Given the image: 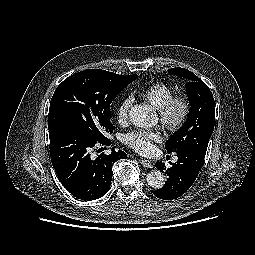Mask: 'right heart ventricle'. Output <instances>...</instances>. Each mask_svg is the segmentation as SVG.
<instances>
[{"mask_svg":"<svg viewBox=\"0 0 255 255\" xmlns=\"http://www.w3.org/2000/svg\"><path fill=\"white\" fill-rule=\"evenodd\" d=\"M140 96L159 110L174 96V89L167 83L156 82L144 89Z\"/></svg>","mask_w":255,"mask_h":255,"instance_id":"right-heart-ventricle-1","label":"right heart ventricle"}]
</instances>
